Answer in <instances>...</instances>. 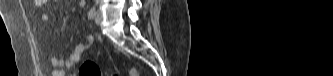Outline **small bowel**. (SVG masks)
Segmentation results:
<instances>
[{
	"instance_id": "small-bowel-1",
	"label": "small bowel",
	"mask_w": 333,
	"mask_h": 76,
	"mask_svg": "<svg viewBox=\"0 0 333 76\" xmlns=\"http://www.w3.org/2000/svg\"><path fill=\"white\" fill-rule=\"evenodd\" d=\"M48 1L46 0H37L36 3L40 6H44L47 4ZM85 2L81 1L80 5L84 6ZM43 21H49L50 15L48 13H43L41 16ZM94 41V37L92 35H88L86 37L85 43L78 44L73 52L70 54V56L67 59L59 58V57H52L50 60L51 66L53 68L52 75L53 76H64L65 75V69L73 67L81 57L84 55V53L92 46ZM71 76H81L80 72H72Z\"/></svg>"
}]
</instances>
